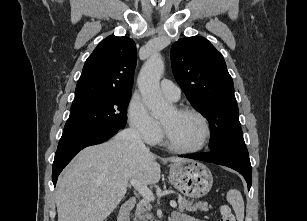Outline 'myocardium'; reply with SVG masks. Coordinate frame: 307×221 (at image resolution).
Segmentation results:
<instances>
[{"label":"myocardium","mask_w":307,"mask_h":221,"mask_svg":"<svg viewBox=\"0 0 307 221\" xmlns=\"http://www.w3.org/2000/svg\"><path fill=\"white\" fill-rule=\"evenodd\" d=\"M176 112L180 113V114H191L194 115L195 117H197L203 126V137L200 141V143L194 147H189V148H182V147H178L175 146L174 144H172V142L169 139L167 130L164 126V124L162 123V127H163V143L164 145L172 152L175 153H179V154H192V153H196L201 151L202 149H204L207 144L209 143L210 137H211V127H210V123L209 120L207 119V117L200 112L199 110L192 108V107H178L175 109Z\"/></svg>","instance_id":"f54148a6"}]
</instances>
